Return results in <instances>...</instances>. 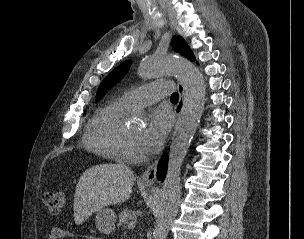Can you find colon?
I'll return each mask as SVG.
<instances>
[{
  "instance_id": "5ec220e1",
  "label": "colon",
  "mask_w": 304,
  "mask_h": 239,
  "mask_svg": "<svg viewBox=\"0 0 304 239\" xmlns=\"http://www.w3.org/2000/svg\"><path fill=\"white\" fill-rule=\"evenodd\" d=\"M43 202L51 214L58 215L65 204V193L61 191L44 193Z\"/></svg>"
}]
</instances>
